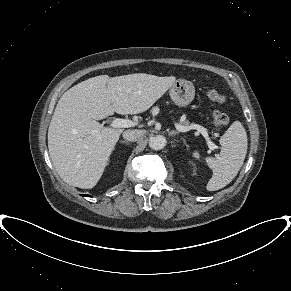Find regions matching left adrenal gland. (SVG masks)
<instances>
[{"label":"left adrenal gland","instance_id":"a2214340","mask_svg":"<svg viewBox=\"0 0 291 291\" xmlns=\"http://www.w3.org/2000/svg\"><path fill=\"white\" fill-rule=\"evenodd\" d=\"M176 134H179L178 131H170L169 136H175Z\"/></svg>","mask_w":291,"mask_h":291}]
</instances>
